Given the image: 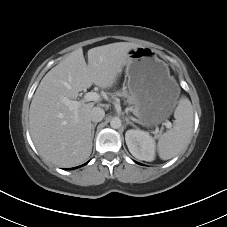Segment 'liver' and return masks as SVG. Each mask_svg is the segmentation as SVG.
Returning <instances> with one entry per match:
<instances>
[{"mask_svg":"<svg viewBox=\"0 0 227 227\" xmlns=\"http://www.w3.org/2000/svg\"><path fill=\"white\" fill-rule=\"evenodd\" d=\"M138 44L117 42L88 50L71 52L41 80L30 105L29 128L40 155L59 167H72L85 161L92 151L90 113L94 103H84L77 114L63 102L74 100L93 84L111 88Z\"/></svg>","mask_w":227,"mask_h":227,"instance_id":"1","label":"liver"}]
</instances>
